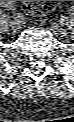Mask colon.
<instances>
[{"mask_svg": "<svg viewBox=\"0 0 74 122\" xmlns=\"http://www.w3.org/2000/svg\"><path fill=\"white\" fill-rule=\"evenodd\" d=\"M24 9L32 14H44L54 9L59 1H22Z\"/></svg>", "mask_w": 74, "mask_h": 122, "instance_id": "obj_1", "label": "colon"}]
</instances>
